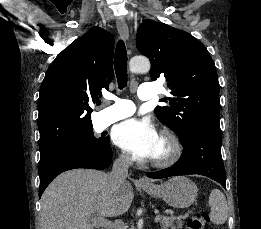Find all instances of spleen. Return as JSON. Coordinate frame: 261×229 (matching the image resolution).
<instances>
[{"label":"spleen","mask_w":261,"mask_h":229,"mask_svg":"<svg viewBox=\"0 0 261 229\" xmlns=\"http://www.w3.org/2000/svg\"><path fill=\"white\" fill-rule=\"evenodd\" d=\"M209 205L211 207L209 215L211 223H214V225H223L227 221L228 205L225 195L219 189L212 191L209 197Z\"/></svg>","instance_id":"spleen-1"}]
</instances>
